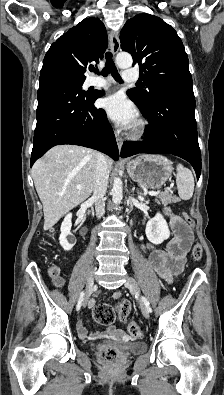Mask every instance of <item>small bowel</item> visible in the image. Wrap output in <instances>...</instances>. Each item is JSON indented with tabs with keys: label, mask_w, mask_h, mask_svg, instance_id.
<instances>
[{
	"label": "small bowel",
	"mask_w": 224,
	"mask_h": 395,
	"mask_svg": "<svg viewBox=\"0 0 224 395\" xmlns=\"http://www.w3.org/2000/svg\"><path fill=\"white\" fill-rule=\"evenodd\" d=\"M169 215L168 210H164ZM170 225L175 231L174 237L168 242L165 250L154 248L151 244L143 246V250L148 253V260L154 271L163 279L172 282L184 268L185 255L188 252L192 237L187 231H182L179 226H184L185 222L182 218L170 215ZM55 286L62 287L64 280L58 278L54 281ZM119 292L113 294V298H118ZM77 331L82 338L90 337L87 328L81 323H77Z\"/></svg>",
	"instance_id": "c3829d8e"
}]
</instances>
